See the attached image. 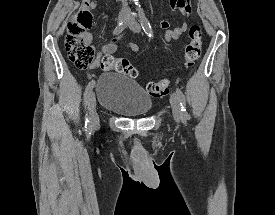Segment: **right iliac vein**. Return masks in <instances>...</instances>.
Listing matches in <instances>:
<instances>
[{"label": "right iliac vein", "mask_w": 275, "mask_h": 215, "mask_svg": "<svg viewBox=\"0 0 275 215\" xmlns=\"http://www.w3.org/2000/svg\"><path fill=\"white\" fill-rule=\"evenodd\" d=\"M121 19H123V17ZM88 111L90 115V124L94 127L97 126L99 123V116L96 111V97L94 92H92L88 98Z\"/></svg>", "instance_id": "right-iliac-vein-1"}]
</instances>
